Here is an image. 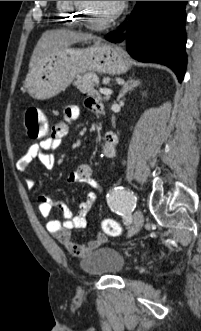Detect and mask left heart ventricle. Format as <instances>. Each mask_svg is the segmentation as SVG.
Listing matches in <instances>:
<instances>
[{"mask_svg":"<svg viewBox=\"0 0 201 331\" xmlns=\"http://www.w3.org/2000/svg\"><path fill=\"white\" fill-rule=\"evenodd\" d=\"M85 17L91 22H101L117 8L119 1H84Z\"/></svg>","mask_w":201,"mask_h":331,"instance_id":"1","label":"left heart ventricle"}]
</instances>
